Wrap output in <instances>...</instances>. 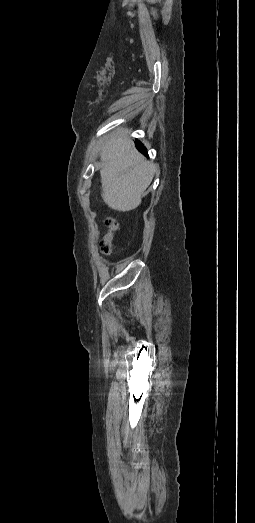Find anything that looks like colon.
Returning a JSON list of instances; mask_svg holds the SVG:
<instances>
[{
	"label": "colon",
	"instance_id": "obj_1",
	"mask_svg": "<svg viewBox=\"0 0 255 523\" xmlns=\"http://www.w3.org/2000/svg\"><path fill=\"white\" fill-rule=\"evenodd\" d=\"M107 231L100 242V250L103 254L109 255L112 251V239L113 234L118 228V224L115 219L108 218L105 222Z\"/></svg>",
	"mask_w": 255,
	"mask_h": 523
}]
</instances>
